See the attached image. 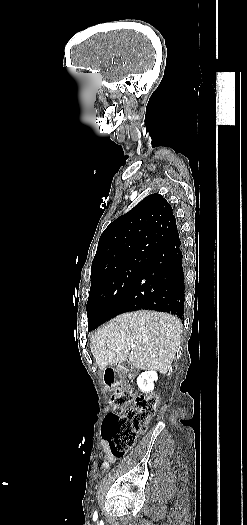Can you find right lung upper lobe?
Returning <instances> with one entry per match:
<instances>
[{"instance_id": "right-lung-upper-lobe-1", "label": "right lung upper lobe", "mask_w": 247, "mask_h": 525, "mask_svg": "<svg viewBox=\"0 0 247 525\" xmlns=\"http://www.w3.org/2000/svg\"><path fill=\"white\" fill-rule=\"evenodd\" d=\"M177 232L171 205L160 194L148 195L101 234L91 273L127 267Z\"/></svg>"}]
</instances>
